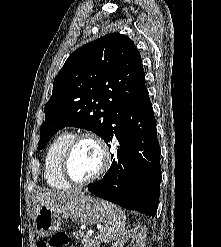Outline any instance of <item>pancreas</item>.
<instances>
[{
	"label": "pancreas",
	"mask_w": 221,
	"mask_h": 247,
	"mask_svg": "<svg viewBox=\"0 0 221 247\" xmlns=\"http://www.w3.org/2000/svg\"><path fill=\"white\" fill-rule=\"evenodd\" d=\"M80 236H83L82 243L84 247H98L99 243L95 238H91L88 235H83V232L79 231Z\"/></svg>",
	"instance_id": "obj_1"
}]
</instances>
